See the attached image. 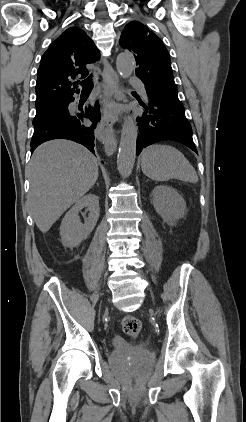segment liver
<instances>
[{
    "instance_id": "obj_1",
    "label": "liver",
    "mask_w": 246,
    "mask_h": 422,
    "mask_svg": "<svg viewBox=\"0 0 246 422\" xmlns=\"http://www.w3.org/2000/svg\"><path fill=\"white\" fill-rule=\"evenodd\" d=\"M28 204L42 233L95 184L97 159L82 145L52 140L40 145L28 165Z\"/></svg>"
}]
</instances>
